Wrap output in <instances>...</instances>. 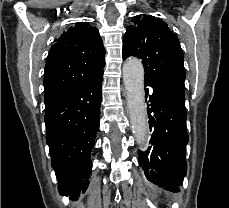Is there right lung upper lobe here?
Wrapping results in <instances>:
<instances>
[{"label": "right lung upper lobe", "instance_id": "cb5924a9", "mask_svg": "<svg viewBox=\"0 0 229 208\" xmlns=\"http://www.w3.org/2000/svg\"><path fill=\"white\" fill-rule=\"evenodd\" d=\"M51 47L44 74L45 103L103 70L105 49L98 29L77 22Z\"/></svg>", "mask_w": 229, "mask_h": 208}]
</instances>
